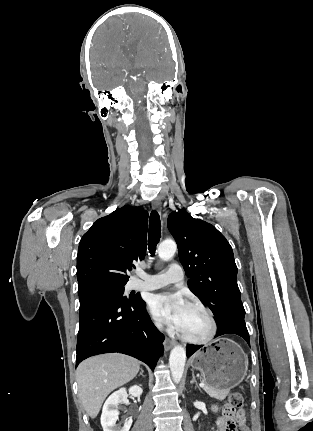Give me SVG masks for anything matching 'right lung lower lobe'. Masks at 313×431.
Returning <instances> with one entry per match:
<instances>
[{
    "label": "right lung lower lobe",
    "mask_w": 313,
    "mask_h": 431,
    "mask_svg": "<svg viewBox=\"0 0 313 431\" xmlns=\"http://www.w3.org/2000/svg\"><path fill=\"white\" fill-rule=\"evenodd\" d=\"M76 367L84 359L119 352L152 370L163 354L164 335L152 323L140 295L127 300L118 293L95 290L79 295Z\"/></svg>",
    "instance_id": "obj_1"
}]
</instances>
